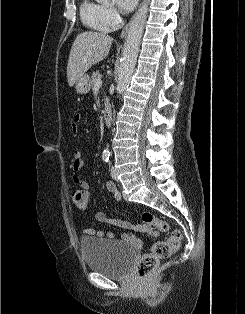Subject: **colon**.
I'll list each match as a JSON object with an SVG mask.
<instances>
[{
  "label": "colon",
  "instance_id": "5ec220e1",
  "mask_svg": "<svg viewBox=\"0 0 245 314\" xmlns=\"http://www.w3.org/2000/svg\"><path fill=\"white\" fill-rule=\"evenodd\" d=\"M72 202L79 208H86L89 202V192L85 189H77L72 192ZM132 227H136L131 224ZM139 229L152 236L159 232L170 230L169 224L156 217L151 212H143L142 225ZM182 234L180 231H172L169 238L165 241H156L151 247L150 252L144 254L137 265L138 276L141 279L150 275L157 267L160 259H166L172 256L180 247Z\"/></svg>",
  "mask_w": 245,
  "mask_h": 314
}]
</instances>
